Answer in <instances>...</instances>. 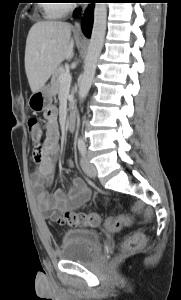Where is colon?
I'll use <instances>...</instances> for the list:
<instances>
[{
  "instance_id": "colon-1",
  "label": "colon",
  "mask_w": 181,
  "mask_h": 300,
  "mask_svg": "<svg viewBox=\"0 0 181 300\" xmlns=\"http://www.w3.org/2000/svg\"><path fill=\"white\" fill-rule=\"evenodd\" d=\"M28 131L32 143L36 150L43 146L45 127L37 118L28 120ZM59 222L66 226L97 227L101 224L102 218L99 213H65L59 218ZM131 224V219L121 215L110 217L105 222V227L109 231H117ZM145 242V236L140 232L129 235L122 244V252L127 253L141 247Z\"/></svg>"
}]
</instances>
